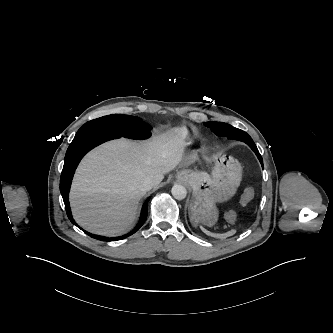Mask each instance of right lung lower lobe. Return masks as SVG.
<instances>
[{
    "label": "right lung lower lobe",
    "instance_id": "right-lung-lower-lobe-1",
    "mask_svg": "<svg viewBox=\"0 0 333 333\" xmlns=\"http://www.w3.org/2000/svg\"><path fill=\"white\" fill-rule=\"evenodd\" d=\"M119 137H121V136L118 134L110 133V132H106V131H102V130H91V131H88L85 133L76 134L66 152L64 166H63L61 179H60V192L63 197L67 215H68L70 221L76 226H78V225L75 223V221L72 218L71 210H70L69 202H68L69 189H70V185H71V181H72L75 169H76L78 163L80 162V160L82 159V157L89 150H91L95 146H97L107 140H111V139L119 138ZM148 201H149V199L143 205L139 223L130 233H128L126 235H123L120 237L107 238V237H103V236H99V235H93L84 230L83 231L90 237H93L95 239L102 240V241H116V240L124 239V238L132 235L133 233H135L144 224V222L147 218V213H148Z\"/></svg>",
    "mask_w": 333,
    "mask_h": 333
}]
</instances>
